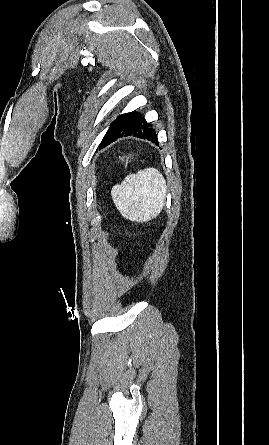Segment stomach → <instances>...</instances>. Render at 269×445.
<instances>
[{"label":"stomach","mask_w":269,"mask_h":445,"mask_svg":"<svg viewBox=\"0 0 269 445\" xmlns=\"http://www.w3.org/2000/svg\"><path fill=\"white\" fill-rule=\"evenodd\" d=\"M132 156L130 155L129 157H126V164L128 163V159L131 158ZM125 157H122L121 160L124 161Z\"/></svg>","instance_id":"0dacf381"}]
</instances>
